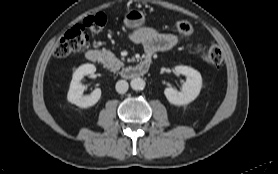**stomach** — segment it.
<instances>
[{
  "label": "stomach",
  "mask_w": 278,
  "mask_h": 174,
  "mask_svg": "<svg viewBox=\"0 0 278 174\" xmlns=\"http://www.w3.org/2000/svg\"><path fill=\"white\" fill-rule=\"evenodd\" d=\"M145 13L138 9H130L124 16V24L130 29L142 26L145 22Z\"/></svg>",
  "instance_id": "1"
}]
</instances>
